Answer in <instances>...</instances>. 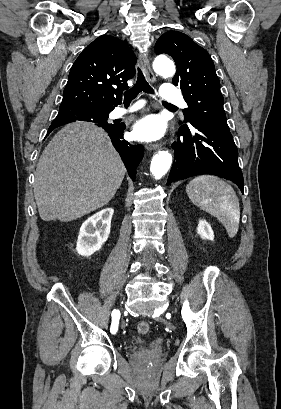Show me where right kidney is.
<instances>
[{
  "instance_id": "1",
  "label": "right kidney",
  "mask_w": 281,
  "mask_h": 409,
  "mask_svg": "<svg viewBox=\"0 0 281 409\" xmlns=\"http://www.w3.org/2000/svg\"><path fill=\"white\" fill-rule=\"evenodd\" d=\"M114 209H103L86 219L80 227L76 251L82 257H90L101 249L110 235L111 219Z\"/></svg>"
}]
</instances>
